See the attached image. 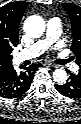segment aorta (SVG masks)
I'll use <instances>...</instances> for the list:
<instances>
[{"mask_svg":"<svg viewBox=\"0 0 81 124\" xmlns=\"http://www.w3.org/2000/svg\"><path fill=\"white\" fill-rule=\"evenodd\" d=\"M24 30L30 37L38 38L45 31V22L40 16H30L24 22ZM53 79L56 83H64L67 80L66 71L63 69H56L53 72Z\"/></svg>","mask_w":81,"mask_h":124,"instance_id":"aorta-1","label":"aorta"}]
</instances>
